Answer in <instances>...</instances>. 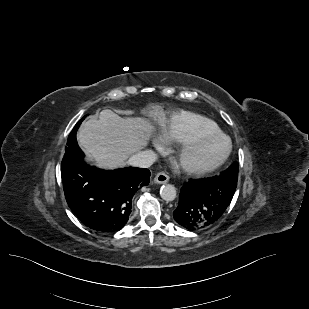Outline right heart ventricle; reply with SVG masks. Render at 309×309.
I'll use <instances>...</instances> for the list:
<instances>
[{"instance_id":"obj_1","label":"right heart ventricle","mask_w":309,"mask_h":309,"mask_svg":"<svg viewBox=\"0 0 309 309\" xmlns=\"http://www.w3.org/2000/svg\"><path fill=\"white\" fill-rule=\"evenodd\" d=\"M205 133H220V128L212 120L187 111L174 114L160 128L161 137L172 143H184Z\"/></svg>"}]
</instances>
